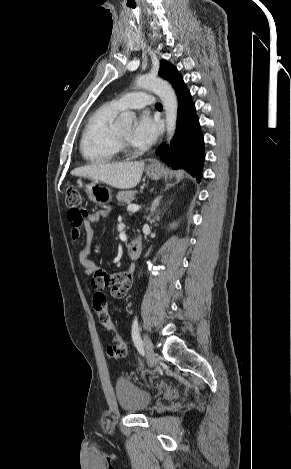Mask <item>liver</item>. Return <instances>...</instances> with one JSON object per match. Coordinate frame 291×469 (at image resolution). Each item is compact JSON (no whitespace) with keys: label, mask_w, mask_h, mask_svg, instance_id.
Here are the masks:
<instances>
[{"label":"liver","mask_w":291,"mask_h":469,"mask_svg":"<svg viewBox=\"0 0 291 469\" xmlns=\"http://www.w3.org/2000/svg\"><path fill=\"white\" fill-rule=\"evenodd\" d=\"M144 166V161L95 163L76 168L71 171V174L102 181L115 188L129 189L134 188L140 182Z\"/></svg>","instance_id":"liver-1"}]
</instances>
